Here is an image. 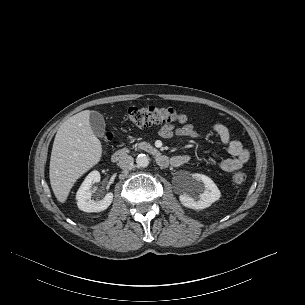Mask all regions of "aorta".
I'll list each match as a JSON object with an SVG mask.
<instances>
[{
	"instance_id": "obj_1",
	"label": "aorta",
	"mask_w": 305,
	"mask_h": 305,
	"mask_svg": "<svg viewBox=\"0 0 305 305\" xmlns=\"http://www.w3.org/2000/svg\"><path fill=\"white\" fill-rule=\"evenodd\" d=\"M136 163L139 167H147L149 165V157L145 154H139L136 158Z\"/></svg>"
}]
</instances>
